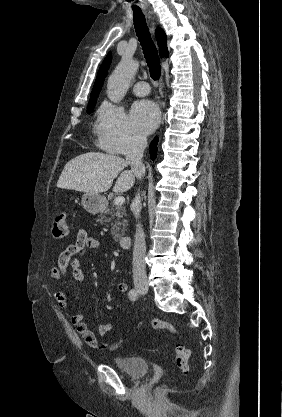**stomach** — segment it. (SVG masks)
Here are the masks:
<instances>
[{
    "label": "stomach",
    "mask_w": 282,
    "mask_h": 417,
    "mask_svg": "<svg viewBox=\"0 0 282 417\" xmlns=\"http://www.w3.org/2000/svg\"><path fill=\"white\" fill-rule=\"evenodd\" d=\"M81 202L83 204V209H85L87 213H91V215L101 213L107 206L106 196H102L99 192H97V194H95V192H86V194H83Z\"/></svg>",
    "instance_id": "1"
}]
</instances>
